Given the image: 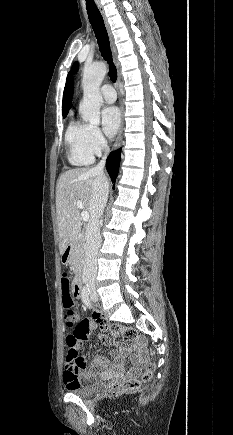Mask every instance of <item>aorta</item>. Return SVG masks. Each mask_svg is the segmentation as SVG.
I'll return each instance as SVG.
<instances>
[{
    "instance_id": "762f6f07",
    "label": "aorta",
    "mask_w": 233,
    "mask_h": 435,
    "mask_svg": "<svg viewBox=\"0 0 233 435\" xmlns=\"http://www.w3.org/2000/svg\"><path fill=\"white\" fill-rule=\"evenodd\" d=\"M106 71L104 63H96L85 68L83 71V100L79 112L84 121L90 122L93 125L100 123V105L102 103L100 85L106 75Z\"/></svg>"
}]
</instances>
